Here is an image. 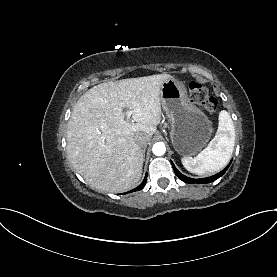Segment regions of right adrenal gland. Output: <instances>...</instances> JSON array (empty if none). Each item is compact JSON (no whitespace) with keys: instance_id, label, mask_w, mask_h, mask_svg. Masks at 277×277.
I'll return each mask as SVG.
<instances>
[{"instance_id":"obj_1","label":"right adrenal gland","mask_w":277,"mask_h":277,"mask_svg":"<svg viewBox=\"0 0 277 277\" xmlns=\"http://www.w3.org/2000/svg\"><path fill=\"white\" fill-rule=\"evenodd\" d=\"M143 157H145V149L143 150Z\"/></svg>"}]
</instances>
